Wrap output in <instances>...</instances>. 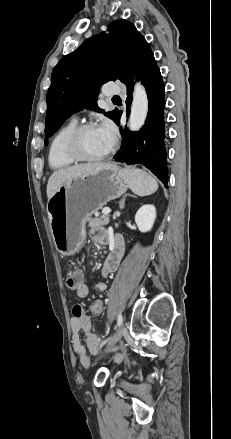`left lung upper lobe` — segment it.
I'll return each mask as SVG.
<instances>
[{
    "mask_svg": "<svg viewBox=\"0 0 231 439\" xmlns=\"http://www.w3.org/2000/svg\"><path fill=\"white\" fill-rule=\"evenodd\" d=\"M148 47L131 22L117 20L108 25L107 32L89 38L64 56L52 71L47 93L46 138L79 110L88 108L104 112L95 101L99 85L116 79L124 83ZM118 112L114 109L105 115L115 121Z\"/></svg>",
    "mask_w": 231,
    "mask_h": 439,
    "instance_id": "5c2ea615",
    "label": "left lung upper lobe"
}]
</instances>
